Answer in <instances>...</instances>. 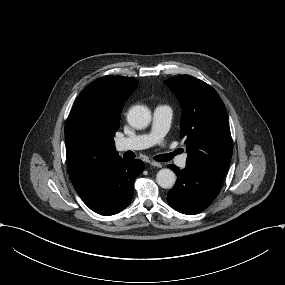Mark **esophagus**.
Returning a JSON list of instances; mask_svg holds the SVG:
<instances>
[{"mask_svg": "<svg viewBox=\"0 0 285 285\" xmlns=\"http://www.w3.org/2000/svg\"><path fill=\"white\" fill-rule=\"evenodd\" d=\"M150 165H152L154 167H157V168H162L163 167V165L161 163L155 162V161H151Z\"/></svg>", "mask_w": 285, "mask_h": 285, "instance_id": "esophagus-1", "label": "esophagus"}]
</instances>
